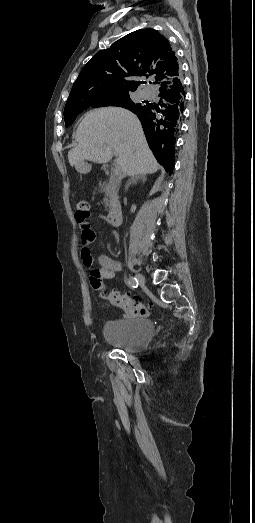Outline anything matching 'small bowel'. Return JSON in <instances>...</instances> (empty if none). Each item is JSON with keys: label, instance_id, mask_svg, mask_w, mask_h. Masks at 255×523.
<instances>
[{"label": "small bowel", "instance_id": "obj_1", "mask_svg": "<svg viewBox=\"0 0 255 523\" xmlns=\"http://www.w3.org/2000/svg\"><path fill=\"white\" fill-rule=\"evenodd\" d=\"M80 226L82 230L81 240L83 245L80 251V256L83 264L91 274L95 273L101 279H114L116 274L122 269L121 263L106 254H102L98 258V267L94 268L92 264V257L89 251V245L95 240L96 235L94 230L88 225L87 222L80 224Z\"/></svg>", "mask_w": 255, "mask_h": 523}]
</instances>
